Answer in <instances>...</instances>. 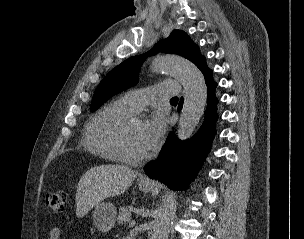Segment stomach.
<instances>
[{
  "instance_id": "stomach-1",
  "label": "stomach",
  "mask_w": 304,
  "mask_h": 239,
  "mask_svg": "<svg viewBox=\"0 0 304 239\" xmlns=\"http://www.w3.org/2000/svg\"><path fill=\"white\" fill-rule=\"evenodd\" d=\"M139 189L143 192L150 190V185L139 183ZM116 207L111 202H100L93 211V221L96 228L101 232L110 231L116 221Z\"/></svg>"
}]
</instances>
